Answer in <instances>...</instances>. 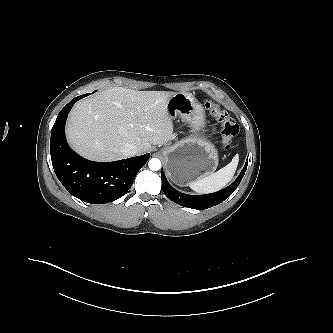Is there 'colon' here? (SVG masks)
I'll return each mask as SVG.
<instances>
[{"label":"colon","mask_w":333,"mask_h":333,"mask_svg":"<svg viewBox=\"0 0 333 333\" xmlns=\"http://www.w3.org/2000/svg\"><path fill=\"white\" fill-rule=\"evenodd\" d=\"M204 105L210 114L221 123L222 147L224 150H229L231 148L232 139L239 132L238 124L214 101L207 99L205 100Z\"/></svg>","instance_id":"1"}]
</instances>
